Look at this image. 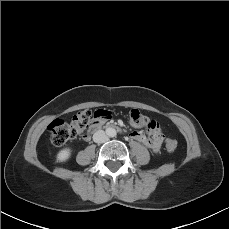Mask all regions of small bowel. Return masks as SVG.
Here are the masks:
<instances>
[{
  "instance_id": "small-bowel-1",
  "label": "small bowel",
  "mask_w": 229,
  "mask_h": 229,
  "mask_svg": "<svg viewBox=\"0 0 229 229\" xmlns=\"http://www.w3.org/2000/svg\"><path fill=\"white\" fill-rule=\"evenodd\" d=\"M151 133V137H148L140 131H135L131 133L130 136L132 139L141 142L143 145L152 149L154 152H158L163 143L159 127L157 126L156 128L151 129Z\"/></svg>"
}]
</instances>
